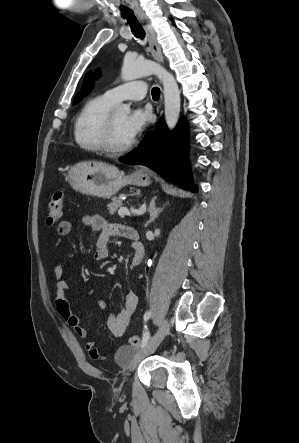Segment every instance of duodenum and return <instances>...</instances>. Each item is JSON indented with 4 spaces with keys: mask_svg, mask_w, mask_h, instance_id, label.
I'll list each match as a JSON object with an SVG mask.
<instances>
[{
    "mask_svg": "<svg viewBox=\"0 0 299 443\" xmlns=\"http://www.w3.org/2000/svg\"><path fill=\"white\" fill-rule=\"evenodd\" d=\"M129 238L135 242V243H134V249H135V251H137V252H139V253L144 252L143 247H142L141 243L139 242V235H138V232H137L135 229L132 228V229L130 230V232H129Z\"/></svg>",
    "mask_w": 299,
    "mask_h": 443,
    "instance_id": "duodenum-1",
    "label": "duodenum"
}]
</instances>
